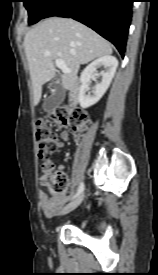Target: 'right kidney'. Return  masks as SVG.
Returning <instances> with one entry per match:
<instances>
[{
    "instance_id": "obj_1",
    "label": "right kidney",
    "mask_w": 158,
    "mask_h": 275,
    "mask_svg": "<svg viewBox=\"0 0 158 275\" xmlns=\"http://www.w3.org/2000/svg\"><path fill=\"white\" fill-rule=\"evenodd\" d=\"M118 66V61L115 57L107 55L100 57L90 63L81 74V86L79 92V104L82 108H88L96 104L107 91ZM99 67H104L102 72V80L97 83L92 91L88 92L89 83L92 77L96 75V70Z\"/></svg>"
}]
</instances>
